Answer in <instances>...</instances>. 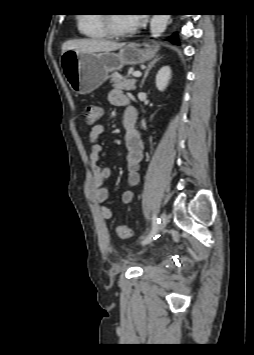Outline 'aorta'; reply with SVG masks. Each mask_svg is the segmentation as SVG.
I'll return each instance as SVG.
<instances>
[{"label":"aorta","instance_id":"1","mask_svg":"<svg viewBox=\"0 0 254 355\" xmlns=\"http://www.w3.org/2000/svg\"><path fill=\"white\" fill-rule=\"evenodd\" d=\"M170 15L157 14L153 15L150 22V32L152 37L158 38L165 31Z\"/></svg>","mask_w":254,"mask_h":355}]
</instances>
